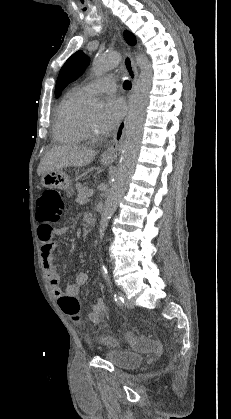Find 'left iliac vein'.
I'll use <instances>...</instances> for the list:
<instances>
[{
  "mask_svg": "<svg viewBox=\"0 0 231 419\" xmlns=\"http://www.w3.org/2000/svg\"><path fill=\"white\" fill-rule=\"evenodd\" d=\"M122 296H123V298L125 299V303H124V305H125L127 308H133V307H134V304H133L130 300H128V299H127L126 295L122 294Z\"/></svg>",
  "mask_w": 231,
  "mask_h": 419,
  "instance_id": "obj_1",
  "label": "left iliac vein"
}]
</instances>
